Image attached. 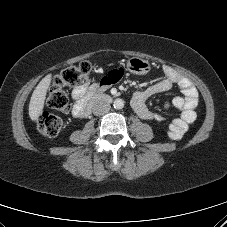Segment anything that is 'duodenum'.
Returning <instances> with one entry per match:
<instances>
[{
	"mask_svg": "<svg viewBox=\"0 0 227 227\" xmlns=\"http://www.w3.org/2000/svg\"><path fill=\"white\" fill-rule=\"evenodd\" d=\"M110 100H111V97L103 93L97 92V93L91 94L84 103V106L82 109V115L87 116L95 104L99 102H109Z\"/></svg>",
	"mask_w": 227,
	"mask_h": 227,
	"instance_id": "1",
	"label": "duodenum"
}]
</instances>
